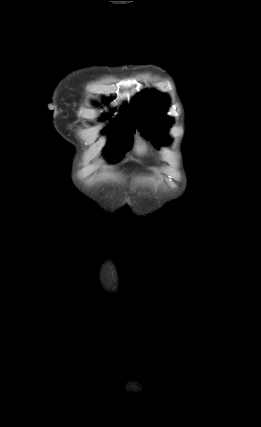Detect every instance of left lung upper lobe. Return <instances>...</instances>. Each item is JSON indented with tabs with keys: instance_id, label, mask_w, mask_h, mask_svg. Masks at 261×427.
<instances>
[{
	"instance_id": "1",
	"label": "left lung upper lobe",
	"mask_w": 261,
	"mask_h": 427,
	"mask_svg": "<svg viewBox=\"0 0 261 427\" xmlns=\"http://www.w3.org/2000/svg\"><path fill=\"white\" fill-rule=\"evenodd\" d=\"M168 103L169 98L155 90L142 91L131 102L135 126L156 148V143L167 145L171 141L166 134L172 123V118L165 116Z\"/></svg>"
}]
</instances>
